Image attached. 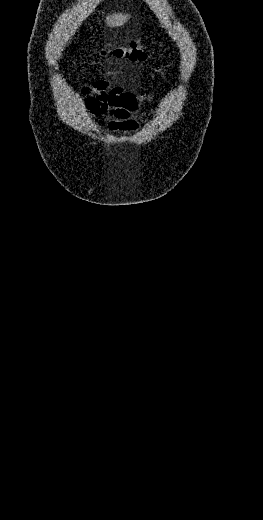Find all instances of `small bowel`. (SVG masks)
<instances>
[{"label":"small bowel","instance_id":"1","mask_svg":"<svg viewBox=\"0 0 263 520\" xmlns=\"http://www.w3.org/2000/svg\"><path fill=\"white\" fill-rule=\"evenodd\" d=\"M85 105L94 115L107 114L110 120L108 129L113 132L130 133L139 127L134 114L142 104L143 98L112 86L107 80H97L91 87L82 90ZM90 93L93 96H89Z\"/></svg>","mask_w":263,"mask_h":520}]
</instances>
